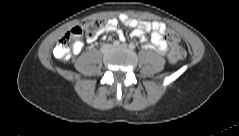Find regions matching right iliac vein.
Wrapping results in <instances>:
<instances>
[{"instance_id":"1","label":"right iliac vein","mask_w":239,"mask_h":136,"mask_svg":"<svg viewBox=\"0 0 239 136\" xmlns=\"http://www.w3.org/2000/svg\"><path fill=\"white\" fill-rule=\"evenodd\" d=\"M109 49H110V46H109V45H104V46H102V48H101V52H102V53H105V52H107Z\"/></svg>"}]
</instances>
